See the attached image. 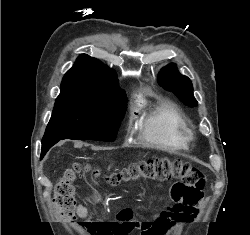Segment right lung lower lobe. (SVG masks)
Here are the masks:
<instances>
[{
  "label": "right lung lower lobe",
  "mask_w": 250,
  "mask_h": 235,
  "mask_svg": "<svg viewBox=\"0 0 250 235\" xmlns=\"http://www.w3.org/2000/svg\"><path fill=\"white\" fill-rule=\"evenodd\" d=\"M58 141H50L47 143H42V151H41V158L45 155V153Z\"/></svg>",
  "instance_id": "98d812e1"
}]
</instances>
